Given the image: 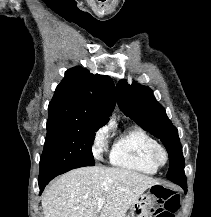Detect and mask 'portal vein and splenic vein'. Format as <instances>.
<instances>
[{
    "label": "portal vein and splenic vein",
    "instance_id": "obj_1",
    "mask_svg": "<svg viewBox=\"0 0 211 217\" xmlns=\"http://www.w3.org/2000/svg\"><path fill=\"white\" fill-rule=\"evenodd\" d=\"M103 202H104V199L102 197L98 199V210H100L101 207L103 206Z\"/></svg>",
    "mask_w": 211,
    "mask_h": 217
}]
</instances>
